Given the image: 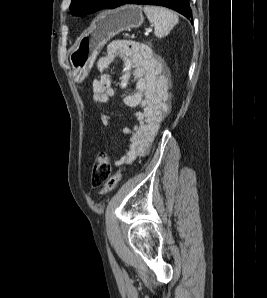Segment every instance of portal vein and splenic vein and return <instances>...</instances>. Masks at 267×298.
Returning <instances> with one entry per match:
<instances>
[{
  "label": "portal vein and splenic vein",
  "mask_w": 267,
  "mask_h": 298,
  "mask_svg": "<svg viewBox=\"0 0 267 298\" xmlns=\"http://www.w3.org/2000/svg\"><path fill=\"white\" fill-rule=\"evenodd\" d=\"M145 34H146V35H148V34H149V32H146Z\"/></svg>",
  "instance_id": "18ae733b"
}]
</instances>
